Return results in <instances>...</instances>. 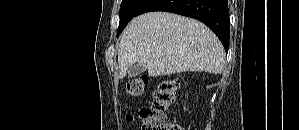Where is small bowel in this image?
Instances as JSON below:
<instances>
[{"label": "small bowel", "mask_w": 299, "mask_h": 130, "mask_svg": "<svg viewBox=\"0 0 299 130\" xmlns=\"http://www.w3.org/2000/svg\"><path fill=\"white\" fill-rule=\"evenodd\" d=\"M137 116H138V113L130 112V113L126 114L125 119L128 123H134L137 119Z\"/></svg>", "instance_id": "small-bowel-1"}]
</instances>
